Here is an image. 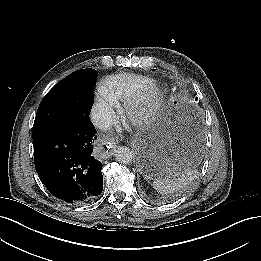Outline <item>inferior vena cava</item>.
<instances>
[{"mask_svg": "<svg viewBox=\"0 0 261 261\" xmlns=\"http://www.w3.org/2000/svg\"><path fill=\"white\" fill-rule=\"evenodd\" d=\"M92 121L100 129H108L112 126L113 122L107 110L97 108L92 113Z\"/></svg>", "mask_w": 261, "mask_h": 261, "instance_id": "inferior-vena-cava-1", "label": "inferior vena cava"}]
</instances>
